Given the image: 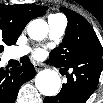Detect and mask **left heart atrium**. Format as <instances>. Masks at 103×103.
<instances>
[{"mask_svg": "<svg viewBox=\"0 0 103 103\" xmlns=\"http://www.w3.org/2000/svg\"><path fill=\"white\" fill-rule=\"evenodd\" d=\"M36 56H40V53L38 52V53L36 54Z\"/></svg>", "mask_w": 103, "mask_h": 103, "instance_id": "1", "label": "left heart atrium"}]
</instances>
